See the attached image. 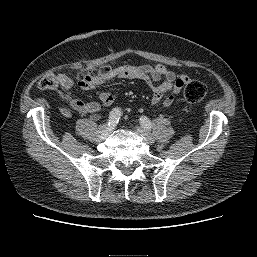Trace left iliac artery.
Here are the masks:
<instances>
[{
    "label": "left iliac artery",
    "instance_id": "left-iliac-artery-1",
    "mask_svg": "<svg viewBox=\"0 0 257 257\" xmlns=\"http://www.w3.org/2000/svg\"><path fill=\"white\" fill-rule=\"evenodd\" d=\"M139 120H140L141 125L144 128H146L147 130H150L152 128V124H151L150 120L147 117L142 116V117H140Z\"/></svg>",
    "mask_w": 257,
    "mask_h": 257
}]
</instances>
